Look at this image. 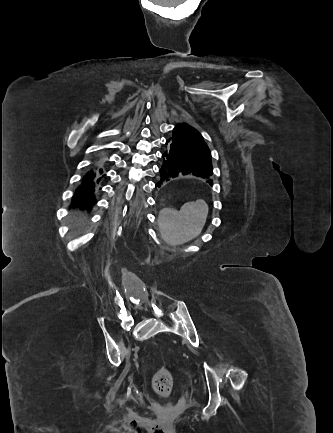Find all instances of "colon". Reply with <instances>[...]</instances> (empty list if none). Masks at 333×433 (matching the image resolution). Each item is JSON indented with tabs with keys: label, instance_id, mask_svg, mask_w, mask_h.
<instances>
[{
	"label": "colon",
	"instance_id": "5ec220e1",
	"mask_svg": "<svg viewBox=\"0 0 333 433\" xmlns=\"http://www.w3.org/2000/svg\"><path fill=\"white\" fill-rule=\"evenodd\" d=\"M152 384L158 396L167 398L173 386V378L170 370L164 365L160 366L153 376Z\"/></svg>",
	"mask_w": 333,
	"mask_h": 433
}]
</instances>
